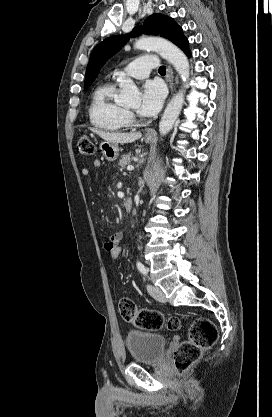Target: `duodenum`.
<instances>
[{"mask_svg":"<svg viewBox=\"0 0 272 417\" xmlns=\"http://www.w3.org/2000/svg\"><path fill=\"white\" fill-rule=\"evenodd\" d=\"M123 206L126 211H130L133 206V199L131 197L125 198L123 202Z\"/></svg>","mask_w":272,"mask_h":417,"instance_id":"duodenum-1","label":"duodenum"}]
</instances>
